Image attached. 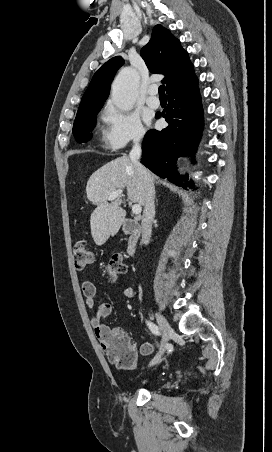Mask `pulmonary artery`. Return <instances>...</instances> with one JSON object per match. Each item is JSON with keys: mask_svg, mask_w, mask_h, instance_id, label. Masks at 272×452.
I'll return each instance as SVG.
<instances>
[{"mask_svg": "<svg viewBox=\"0 0 272 452\" xmlns=\"http://www.w3.org/2000/svg\"><path fill=\"white\" fill-rule=\"evenodd\" d=\"M157 93V87L156 86H150L148 89V97L146 100L147 105L150 108L157 109L160 106V100L156 96Z\"/></svg>", "mask_w": 272, "mask_h": 452, "instance_id": "obj_1", "label": "pulmonary artery"}]
</instances>
